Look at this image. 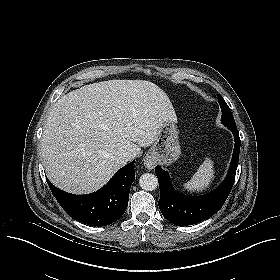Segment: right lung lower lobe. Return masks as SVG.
<instances>
[{
  "mask_svg": "<svg viewBox=\"0 0 280 280\" xmlns=\"http://www.w3.org/2000/svg\"><path fill=\"white\" fill-rule=\"evenodd\" d=\"M135 160L121 168L100 190L88 195H73L47 183L61 207L73 218L91 226H106L124 214L130 187L135 180Z\"/></svg>",
  "mask_w": 280,
  "mask_h": 280,
  "instance_id": "98d812e1",
  "label": "right lung lower lobe"
}]
</instances>
